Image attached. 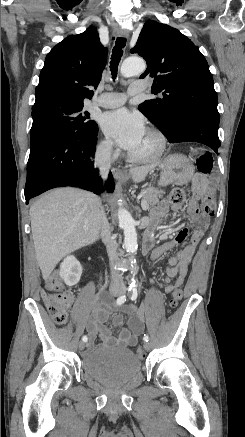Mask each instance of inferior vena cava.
Segmentation results:
<instances>
[{
	"label": "inferior vena cava",
	"mask_w": 245,
	"mask_h": 437,
	"mask_svg": "<svg viewBox=\"0 0 245 437\" xmlns=\"http://www.w3.org/2000/svg\"><path fill=\"white\" fill-rule=\"evenodd\" d=\"M111 144L106 145V147L96 156L95 166L99 168L100 176L105 180L108 177L110 169V157H111ZM101 233L103 237V242L106 245L107 253L110 260L111 266V282L112 284H123V279L121 274L114 269V262L118 259V244L114 238L111 237V228L102 208V222H101Z\"/></svg>",
	"instance_id": "1"
}]
</instances>
